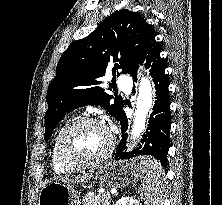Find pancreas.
Segmentation results:
<instances>
[{
    "instance_id": "pancreas-1",
    "label": "pancreas",
    "mask_w": 222,
    "mask_h": 205,
    "mask_svg": "<svg viewBox=\"0 0 222 205\" xmlns=\"http://www.w3.org/2000/svg\"><path fill=\"white\" fill-rule=\"evenodd\" d=\"M111 198L109 195L89 196L83 198V205H110Z\"/></svg>"
}]
</instances>
